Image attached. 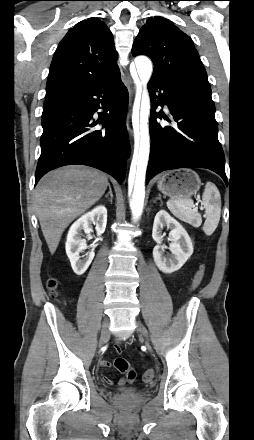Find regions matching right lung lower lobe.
I'll use <instances>...</instances> for the list:
<instances>
[{
    "instance_id": "right-lung-lower-lobe-1",
    "label": "right lung lower lobe",
    "mask_w": 254,
    "mask_h": 440,
    "mask_svg": "<svg viewBox=\"0 0 254 440\" xmlns=\"http://www.w3.org/2000/svg\"><path fill=\"white\" fill-rule=\"evenodd\" d=\"M127 106L128 91L121 79L84 83L47 95L35 185L50 170L71 164L100 169L122 183L130 148ZM99 109L104 112L96 118Z\"/></svg>"
}]
</instances>
